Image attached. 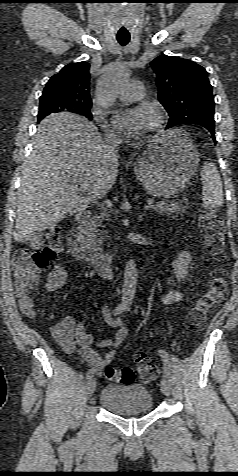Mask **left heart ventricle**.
Wrapping results in <instances>:
<instances>
[{"label":"left heart ventricle","mask_w":238,"mask_h":476,"mask_svg":"<svg viewBox=\"0 0 238 476\" xmlns=\"http://www.w3.org/2000/svg\"><path fill=\"white\" fill-rule=\"evenodd\" d=\"M154 122H155V115H154V113L151 111V112H150V115H149V124H148V126H149V127H152V125L154 124Z\"/></svg>","instance_id":"1"}]
</instances>
